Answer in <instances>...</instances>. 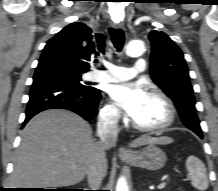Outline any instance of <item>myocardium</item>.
<instances>
[{
  "instance_id": "f54148a6",
  "label": "myocardium",
  "mask_w": 218,
  "mask_h": 191,
  "mask_svg": "<svg viewBox=\"0 0 218 191\" xmlns=\"http://www.w3.org/2000/svg\"><path fill=\"white\" fill-rule=\"evenodd\" d=\"M149 95L157 97L164 102V104L166 105L167 110H168L167 120L163 124L158 125V126H142V125H139L138 123H136L134 120L132 121V124H133L134 128H136L137 130L142 131V132H161V131H164V130L168 129L169 127H171L176 120V117H177L176 106H175L174 102L172 101V99L161 90L152 89L149 92Z\"/></svg>"
}]
</instances>
